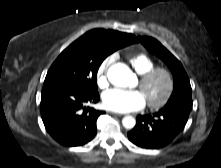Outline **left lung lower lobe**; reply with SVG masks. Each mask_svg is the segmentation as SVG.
I'll list each match as a JSON object with an SVG mask.
<instances>
[{
	"label": "left lung lower lobe",
	"mask_w": 221,
	"mask_h": 168,
	"mask_svg": "<svg viewBox=\"0 0 221 168\" xmlns=\"http://www.w3.org/2000/svg\"><path fill=\"white\" fill-rule=\"evenodd\" d=\"M192 107L177 105L163 108L153 115H139L129 140L146 149H158L169 144L185 127Z\"/></svg>",
	"instance_id": "obj_1"
}]
</instances>
